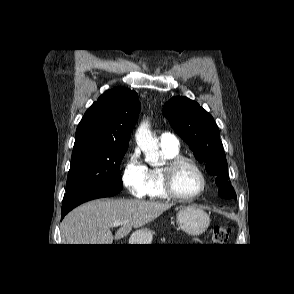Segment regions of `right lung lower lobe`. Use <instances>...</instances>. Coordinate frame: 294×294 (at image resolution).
<instances>
[{
    "instance_id": "right-lung-lower-lobe-1",
    "label": "right lung lower lobe",
    "mask_w": 294,
    "mask_h": 294,
    "mask_svg": "<svg viewBox=\"0 0 294 294\" xmlns=\"http://www.w3.org/2000/svg\"><path fill=\"white\" fill-rule=\"evenodd\" d=\"M121 190H105V191H94V192H87L83 193L81 195L76 196L73 199H70L66 202H63L62 206V218L73 208L77 207L78 205L92 200L96 198H102V197H110L118 194Z\"/></svg>"
}]
</instances>
